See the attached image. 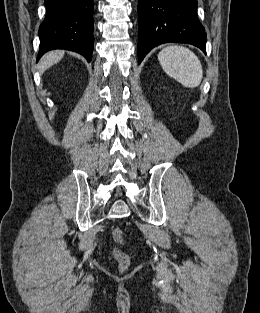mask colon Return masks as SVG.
<instances>
[{"instance_id": "obj_1", "label": "colon", "mask_w": 260, "mask_h": 313, "mask_svg": "<svg viewBox=\"0 0 260 313\" xmlns=\"http://www.w3.org/2000/svg\"><path fill=\"white\" fill-rule=\"evenodd\" d=\"M112 238L116 243H123L124 242V233L122 229L115 228L112 230ZM113 256L117 261L118 268L120 271H125L130 265V256L122 251L121 249L114 248L113 249Z\"/></svg>"}]
</instances>
